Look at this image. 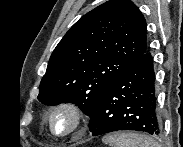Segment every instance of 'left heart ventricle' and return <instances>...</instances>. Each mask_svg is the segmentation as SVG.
Here are the masks:
<instances>
[{
  "label": "left heart ventricle",
  "mask_w": 183,
  "mask_h": 147,
  "mask_svg": "<svg viewBox=\"0 0 183 147\" xmlns=\"http://www.w3.org/2000/svg\"><path fill=\"white\" fill-rule=\"evenodd\" d=\"M52 125L55 132L63 134L72 129L74 118L68 112L60 111L54 115Z\"/></svg>",
  "instance_id": "obj_1"
}]
</instances>
